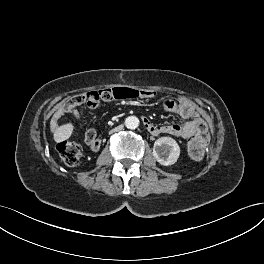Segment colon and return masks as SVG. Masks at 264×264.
<instances>
[{
  "instance_id": "5ec220e1",
  "label": "colon",
  "mask_w": 264,
  "mask_h": 264,
  "mask_svg": "<svg viewBox=\"0 0 264 264\" xmlns=\"http://www.w3.org/2000/svg\"><path fill=\"white\" fill-rule=\"evenodd\" d=\"M136 96H138V92L135 90L127 88H114L91 91L82 96H75L70 99V102L76 103L84 100L88 105H98L100 102L130 99ZM191 118L199 124V128L189 139L187 147L191 157L199 159L205 153L209 142V134L205 126L202 124L200 115L197 111L191 112ZM56 149L64 163L69 166L76 165L82 156L80 146L74 142L66 140L61 141L56 145Z\"/></svg>"
}]
</instances>
